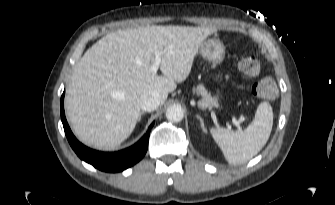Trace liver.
I'll return each instance as SVG.
<instances>
[{"label":"liver","mask_w":335,"mask_h":205,"mask_svg":"<svg viewBox=\"0 0 335 205\" xmlns=\"http://www.w3.org/2000/svg\"><path fill=\"white\" fill-rule=\"evenodd\" d=\"M216 29L143 26L112 32L92 45L70 78L65 109L77 138L87 146L110 150L133 132L140 98L158 92L163 104L176 83L185 81L202 42ZM161 50L159 76L150 70Z\"/></svg>","instance_id":"1"}]
</instances>
